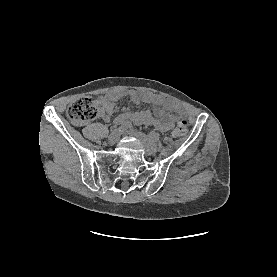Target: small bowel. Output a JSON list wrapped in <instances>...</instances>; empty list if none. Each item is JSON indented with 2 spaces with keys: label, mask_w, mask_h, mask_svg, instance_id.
Segmentation results:
<instances>
[{
  "label": "small bowel",
  "mask_w": 277,
  "mask_h": 277,
  "mask_svg": "<svg viewBox=\"0 0 277 277\" xmlns=\"http://www.w3.org/2000/svg\"><path fill=\"white\" fill-rule=\"evenodd\" d=\"M128 95L134 103H140L143 101L152 105L154 108L143 111L124 112L115 118V123L131 120L138 124H153L162 131H166L171 127V124L175 119V115L167 113L174 108V105L169 100L150 93L141 94L137 91H129ZM122 96V93H108L101 97L105 111L103 114L104 120H110L114 103Z\"/></svg>",
  "instance_id": "c3829d8e"
}]
</instances>
